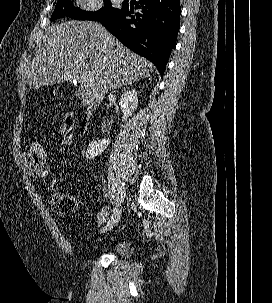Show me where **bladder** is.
<instances>
[{
	"label": "bladder",
	"mask_w": 272,
	"mask_h": 303,
	"mask_svg": "<svg viewBox=\"0 0 272 303\" xmlns=\"http://www.w3.org/2000/svg\"><path fill=\"white\" fill-rule=\"evenodd\" d=\"M104 251L108 254L114 255L115 257L124 258L129 256L131 245L127 240H113L104 247Z\"/></svg>",
	"instance_id": "bladder-1"
}]
</instances>
